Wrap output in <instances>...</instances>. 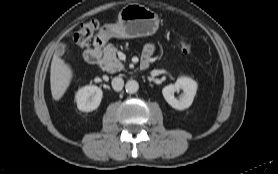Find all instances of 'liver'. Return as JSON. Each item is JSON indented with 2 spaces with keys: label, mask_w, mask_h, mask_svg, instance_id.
<instances>
[{
  "label": "liver",
  "mask_w": 278,
  "mask_h": 174,
  "mask_svg": "<svg viewBox=\"0 0 278 174\" xmlns=\"http://www.w3.org/2000/svg\"><path fill=\"white\" fill-rule=\"evenodd\" d=\"M73 78L71 66L54 53L50 69L51 94L55 101H59L68 89Z\"/></svg>",
  "instance_id": "6515ba94"
}]
</instances>
